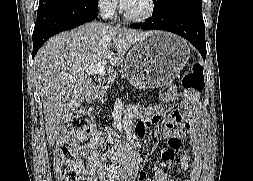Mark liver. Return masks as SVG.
Listing matches in <instances>:
<instances>
[{
  "instance_id": "1",
  "label": "liver",
  "mask_w": 253,
  "mask_h": 181,
  "mask_svg": "<svg viewBox=\"0 0 253 181\" xmlns=\"http://www.w3.org/2000/svg\"><path fill=\"white\" fill-rule=\"evenodd\" d=\"M152 32L90 22L53 36L40 48L33 61V75L43 103L49 146L93 93L86 66L101 60L121 65L127 50Z\"/></svg>"
}]
</instances>
